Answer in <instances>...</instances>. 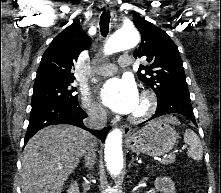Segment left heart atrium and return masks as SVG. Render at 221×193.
<instances>
[{
	"label": "left heart atrium",
	"instance_id": "left-heart-atrium-1",
	"mask_svg": "<svg viewBox=\"0 0 221 193\" xmlns=\"http://www.w3.org/2000/svg\"><path fill=\"white\" fill-rule=\"evenodd\" d=\"M101 102L115 113L130 114L139 103V94L132 79L112 78L100 91Z\"/></svg>",
	"mask_w": 221,
	"mask_h": 193
}]
</instances>
